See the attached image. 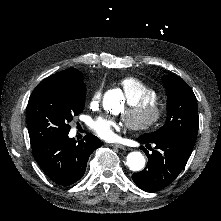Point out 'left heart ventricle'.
Here are the masks:
<instances>
[{
  "mask_svg": "<svg viewBox=\"0 0 221 221\" xmlns=\"http://www.w3.org/2000/svg\"><path fill=\"white\" fill-rule=\"evenodd\" d=\"M152 119V114H148L142 121H141V125H147L150 123Z\"/></svg>",
  "mask_w": 221,
  "mask_h": 221,
  "instance_id": "left-heart-ventricle-1",
  "label": "left heart ventricle"
}]
</instances>
